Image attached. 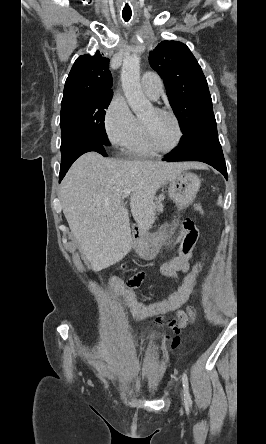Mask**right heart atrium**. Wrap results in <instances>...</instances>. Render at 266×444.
<instances>
[{"mask_svg":"<svg viewBox=\"0 0 266 444\" xmlns=\"http://www.w3.org/2000/svg\"><path fill=\"white\" fill-rule=\"evenodd\" d=\"M103 125L112 146L127 145L134 131L135 117L121 94L117 93L112 97L104 114Z\"/></svg>","mask_w":266,"mask_h":444,"instance_id":"d8ad5b80","label":"right heart atrium"}]
</instances>
